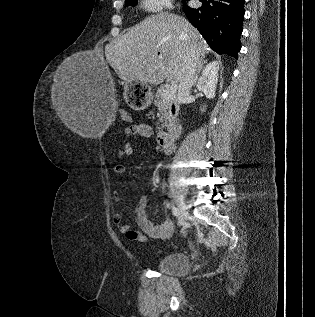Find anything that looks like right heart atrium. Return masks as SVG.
I'll list each match as a JSON object with an SVG mask.
<instances>
[{
	"label": "right heart atrium",
	"instance_id": "d8ad5b80",
	"mask_svg": "<svg viewBox=\"0 0 315 317\" xmlns=\"http://www.w3.org/2000/svg\"><path fill=\"white\" fill-rule=\"evenodd\" d=\"M173 0H141L142 7L151 13L161 12L172 7Z\"/></svg>",
	"mask_w": 315,
	"mask_h": 317
}]
</instances>
